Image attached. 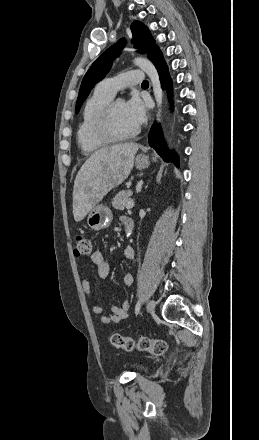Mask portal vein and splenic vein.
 <instances>
[{
    "mask_svg": "<svg viewBox=\"0 0 259 440\" xmlns=\"http://www.w3.org/2000/svg\"><path fill=\"white\" fill-rule=\"evenodd\" d=\"M134 207V201L133 200H129L126 204V208L127 209H131Z\"/></svg>",
    "mask_w": 259,
    "mask_h": 440,
    "instance_id": "portal-vein-and-splenic-vein-1",
    "label": "portal vein and splenic vein"
}]
</instances>
